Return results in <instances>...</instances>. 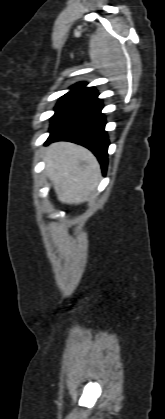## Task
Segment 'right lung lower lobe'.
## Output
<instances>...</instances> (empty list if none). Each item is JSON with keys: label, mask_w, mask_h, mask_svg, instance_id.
Wrapping results in <instances>:
<instances>
[{"label": "right lung lower lobe", "mask_w": 165, "mask_h": 419, "mask_svg": "<svg viewBox=\"0 0 165 419\" xmlns=\"http://www.w3.org/2000/svg\"><path fill=\"white\" fill-rule=\"evenodd\" d=\"M97 97V93L83 97L56 112L51 118L47 143L65 140L87 147L97 156L105 173L109 141L104 130L106 121L101 113L102 101Z\"/></svg>", "instance_id": "98d812e1"}]
</instances>
